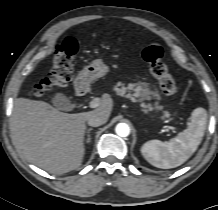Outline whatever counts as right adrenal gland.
I'll use <instances>...</instances> for the list:
<instances>
[{
	"instance_id": "2a0ac1e0",
	"label": "right adrenal gland",
	"mask_w": 218,
	"mask_h": 210,
	"mask_svg": "<svg viewBox=\"0 0 218 210\" xmlns=\"http://www.w3.org/2000/svg\"><path fill=\"white\" fill-rule=\"evenodd\" d=\"M92 131V128H89L88 130H87V140H86V142L87 143H89L90 141H91V135H90V132Z\"/></svg>"
}]
</instances>
